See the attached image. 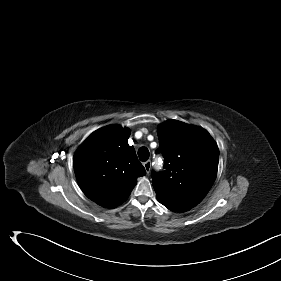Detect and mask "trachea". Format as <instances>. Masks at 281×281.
Returning a JSON list of instances; mask_svg holds the SVG:
<instances>
[{"label": "trachea", "instance_id": "obj_1", "mask_svg": "<svg viewBox=\"0 0 281 281\" xmlns=\"http://www.w3.org/2000/svg\"><path fill=\"white\" fill-rule=\"evenodd\" d=\"M149 150L146 147H141L138 150V156L141 161H147L149 159Z\"/></svg>", "mask_w": 281, "mask_h": 281}]
</instances>
